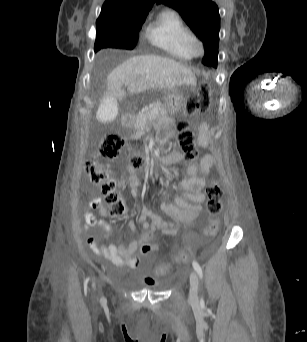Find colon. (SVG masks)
<instances>
[{
    "label": "colon",
    "instance_id": "colon-1",
    "mask_svg": "<svg viewBox=\"0 0 307 342\" xmlns=\"http://www.w3.org/2000/svg\"><path fill=\"white\" fill-rule=\"evenodd\" d=\"M199 88L202 94L210 93V83L200 82ZM209 103L206 99L202 101H197L190 99L185 104V113L189 117H193L197 114H201L207 110ZM177 131V141L179 147L184 153L185 160L188 162H194L199 157V148L194 142V134L189 127V122L187 120H181L176 125ZM133 150L128 144L126 137L119 133H109L105 135L98 147L92 152L91 158L85 163V172L89 177L91 184L101 188L104 195V201L108 208V216L112 218H117L124 214L125 204L120 194L116 191L115 183L109 178L108 170L101 163L102 160H115L119 158L122 154H131ZM142 160L136 155H132V164L134 166L142 165ZM207 195V211L209 214V220L205 227V232L208 236L214 237L219 231V220L218 215L222 211V200H223V189L220 181L214 177L206 186ZM148 236L153 233L148 231L146 233ZM145 236L141 244L142 251L141 254L146 256L148 251H157V244H150L148 241L150 238ZM180 256L178 258L179 264L181 266H186L188 261L184 257L185 252L180 250L178 252ZM171 270L169 264H162L158 270L157 275H167ZM145 283L148 285H154L156 283V277L148 276L145 278Z\"/></svg>",
    "mask_w": 307,
    "mask_h": 342
}]
</instances>
